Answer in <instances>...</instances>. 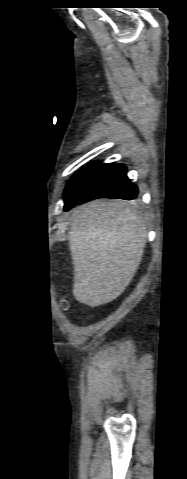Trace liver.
<instances>
[{"instance_id": "obj_1", "label": "liver", "mask_w": 187, "mask_h": 479, "mask_svg": "<svg viewBox=\"0 0 187 479\" xmlns=\"http://www.w3.org/2000/svg\"><path fill=\"white\" fill-rule=\"evenodd\" d=\"M73 295L91 307L116 299L133 279L144 253L146 225L123 201L96 200L71 220Z\"/></svg>"}]
</instances>
